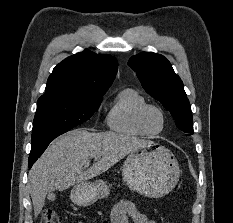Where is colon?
<instances>
[{
    "label": "colon",
    "mask_w": 233,
    "mask_h": 223,
    "mask_svg": "<svg viewBox=\"0 0 233 223\" xmlns=\"http://www.w3.org/2000/svg\"><path fill=\"white\" fill-rule=\"evenodd\" d=\"M42 217L43 223H59L56 212L51 208L44 209L42 211Z\"/></svg>",
    "instance_id": "obj_1"
}]
</instances>
